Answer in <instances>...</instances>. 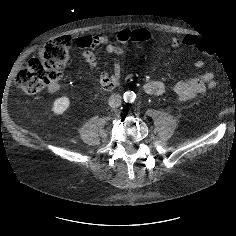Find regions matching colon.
I'll list each match as a JSON object with an SVG mask.
<instances>
[{
  "label": "colon",
  "instance_id": "1",
  "mask_svg": "<svg viewBox=\"0 0 236 236\" xmlns=\"http://www.w3.org/2000/svg\"><path fill=\"white\" fill-rule=\"evenodd\" d=\"M197 47L204 49L203 43ZM69 61V40L57 38L48 41L38 49L37 57L18 72L15 83L24 93L36 94L46 86L58 83ZM217 61L223 62L224 56L218 55Z\"/></svg>",
  "mask_w": 236,
  "mask_h": 236
}]
</instances>
